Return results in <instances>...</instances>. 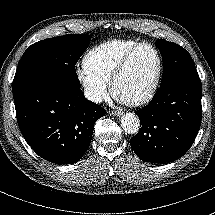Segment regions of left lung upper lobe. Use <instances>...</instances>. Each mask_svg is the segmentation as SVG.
Returning a JSON list of instances; mask_svg holds the SVG:
<instances>
[{
	"instance_id": "left-lung-upper-lobe-1",
	"label": "left lung upper lobe",
	"mask_w": 215,
	"mask_h": 215,
	"mask_svg": "<svg viewBox=\"0 0 215 215\" xmlns=\"http://www.w3.org/2000/svg\"><path fill=\"white\" fill-rule=\"evenodd\" d=\"M155 45L163 57L161 85L180 74L196 70L190 54L184 48L163 39H157Z\"/></svg>"
}]
</instances>
